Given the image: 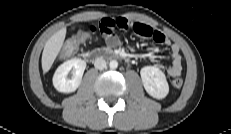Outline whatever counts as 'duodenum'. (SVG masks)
Instances as JSON below:
<instances>
[{
	"instance_id": "obj_1",
	"label": "duodenum",
	"mask_w": 231,
	"mask_h": 134,
	"mask_svg": "<svg viewBox=\"0 0 231 134\" xmlns=\"http://www.w3.org/2000/svg\"><path fill=\"white\" fill-rule=\"evenodd\" d=\"M112 58V59H123L124 56L121 53L109 50V49H100L93 50L86 55V59L89 61H96L101 58Z\"/></svg>"
}]
</instances>
